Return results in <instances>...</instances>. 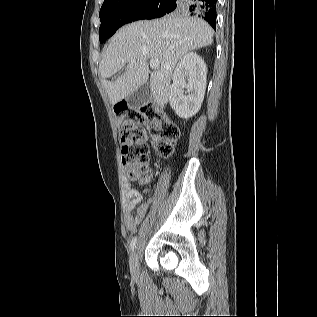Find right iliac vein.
I'll use <instances>...</instances> for the list:
<instances>
[{"label":"right iliac vein","instance_id":"obj_1","mask_svg":"<svg viewBox=\"0 0 317 317\" xmlns=\"http://www.w3.org/2000/svg\"><path fill=\"white\" fill-rule=\"evenodd\" d=\"M130 271L133 277L139 276V259L137 251H134L129 260Z\"/></svg>","mask_w":317,"mask_h":317}]
</instances>
